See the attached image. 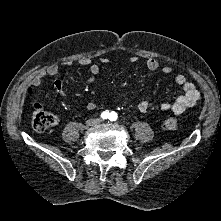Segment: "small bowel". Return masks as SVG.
<instances>
[{"label": "small bowel", "mask_w": 221, "mask_h": 221, "mask_svg": "<svg viewBox=\"0 0 221 221\" xmlns=\"http://www.w3.org/2000/svg\"><path fill=\"white\" fill-rule=\"evenodd\" d=\"M131 61L136 62L137 58L131 57ZM101 62L104 64H108L110 60L106 57H103L101 58ZM78 63L81 66H87L89 68V71L91 73V78L89 79V82H92L94 80L95 75H97L100 71L99 65L92 63V60L88 57L80 58L78 60ZM145 65L151 71H156L158 69H161V72L164 75H171L173 72L170 66L160 65L159 61L153 57L147 58L145 61ZM58 71L59 68L57 65L55 64L49 65L46 69L39 72L35 76V78L31 81V83L28 85L26 92L35 97V103H34L35 108L41 107V104L38 102V97L36 95L37 89L43 84L44 79L47 76L50 77L56 76L58 74ZM174 81L177 85L181 86L183 92L180 95H178L173 102H158L154 104L150 101L142 100L137 105L138 109L141 112H147L153 108H157L159 110H171L174 114L180 115L188 108L194 106L200 97L199 91L197 90L194 83L189 81L184 74H176L174 76ZM53 88L59 95L61 96L66 95L64 84L61 80L59 79L54 80ZM87 107L89 109H94L96 105L94 103H89Z\"/></svg>", "instance_id": "obj_1"}]
</instances>
